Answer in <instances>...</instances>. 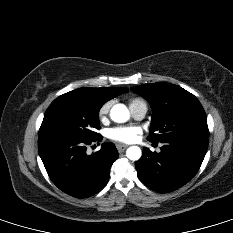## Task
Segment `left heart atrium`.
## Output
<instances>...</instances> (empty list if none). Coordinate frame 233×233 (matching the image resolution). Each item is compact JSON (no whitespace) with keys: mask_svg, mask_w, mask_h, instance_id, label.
<instances>
[{"mask_svg":"<svg viewBox=\"0 0 233 233\" xmlns=\"http://www.w3.org/2000/svg\"><path fill=\"white\" fill-rule=\"evenodd\" d=\"M140 132L137 127H116L109 131V137L118 142L132 143L137 140Z\"/></svg>","mask_w":233,"mask_h":233,"instance_id":"obj_1","label":"left heart atrium"}]
</instances>
